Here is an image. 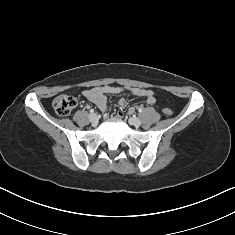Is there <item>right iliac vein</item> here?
<instances>
[{
  "label": "right iliac vein",
  "instance_id": "63e3f726",
  "mask_svg": "<svg viewBox=\"0 0 235 235\" xmlns=\"http://www.w3.org/2000/svg\"><path fill=\"white\" fill-rule=\"evenodd\" d=\"M89 119L93 124H96L98 122V116L94 113L90 114Z\"/></svg>",
  "mask_w": 235,
  "mask_h": 235
}]
</instances>
